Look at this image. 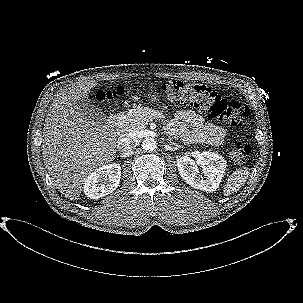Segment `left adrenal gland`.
Instances as JSON below:
<instances>
[{
  "label": "left adrenal gland",
  "mask_w": 303,
  "mask_h": 303,
  "mask_svg": "<svg viewBox=\"0 0 303 303\" xmlns=\"http://www.w3.org/2000/svg\"><path fill=\"white\" fill-rule=\"evenodd\" d=\"M170 141V143L172 144V145H175V146H179L178 144H176V143H174V142H172L171 140H169Z\"/></svg>",
  "instance_id": "left-adrenal-gland-1"
}]
</instances>
